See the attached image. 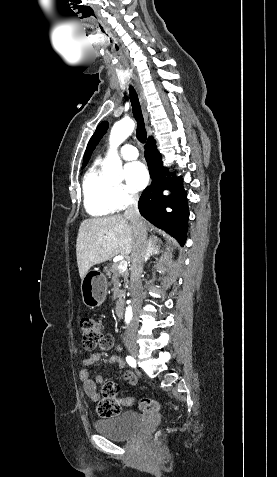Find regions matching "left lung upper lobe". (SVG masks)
Segmentation results:
<instances>
[{
	"mask_svg": "<svg viewBox=\"0 0 277 477\" xmlns=\"http://www.w3.org/2000/svg\"><path fill=\"white\" fill-rule=\"evenodd\" d=\"M108 128V123L106 121L100 123L98 127L96 128V131L92 135V137L89 140L85 155H84V165L87 163L88 159L90 158L93 150L95 149L96 145L100 141V139L103 137L105 134L106 130Z\"/></svg>",
	"mask_w": 277,
	"mask_h": 477,
	"instance_id": "1",
	"label": "left lung upper lobe"
}]
</instances>
